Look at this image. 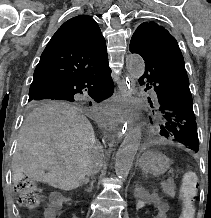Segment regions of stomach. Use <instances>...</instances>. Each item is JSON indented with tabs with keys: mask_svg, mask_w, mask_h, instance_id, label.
Instances as JSON below:
<instances>
[{
	"mask_svg": "<svg viewBox=\"0 0 211 218\" xmlns=\"http://www.w3.org/2000/svg\"><path fill=\"white\" fill-rule=\"evenodd\" d=\"M140 168L154 176L165 173L170 167V160L160 152H146L139 161Z\"/></svg>",
	"mask_w": 211,
	"mask_h": 218,
	"instance_id": "obj_1",
	"label": "stomach"
}]
</instances>
